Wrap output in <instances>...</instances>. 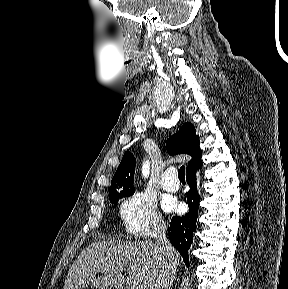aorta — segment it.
<instances>
[{
  "label": "aorta",
  "mask_w": 288,
  "mask_h": 289,
  "mask_svg": "<svg viewBox=\"0 0 288 289\" xmlns=\"http://www.w3.org/2000/svg\"><path fill=\"white\" fill-rule=\"evenodd\" d=\"M142 171H143L144 176L148 175V173H149V164L148 163L144 164Z\"/></svg>",
  "instance_id": "obj_1"
}]
</instances>
